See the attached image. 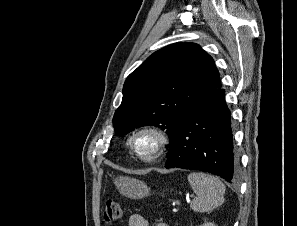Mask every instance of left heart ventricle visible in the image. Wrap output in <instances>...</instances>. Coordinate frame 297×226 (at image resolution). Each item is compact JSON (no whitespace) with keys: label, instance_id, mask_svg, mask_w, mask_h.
<instances>
[{"label":"left heart ventricle","instance_id":"obj_1","mask_svg":"<svg viewBox=\"0 0 297 226\" xmlns=\"http://www.w3.org/2000/svg\"><path fill=\"white\" fill-rule=\"evenodd\" d=\"M155 143V138L152 135H143L138 140V147L141 151H149Z\"/></svg>","mask_w":297,"mask_h":226}]
</instances>
